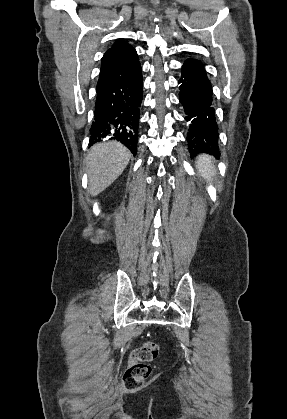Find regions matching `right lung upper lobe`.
Returning a JSON list of instances; mask_svg holds the SVG:
<instances>
[{"mask_svg": "<svg viewBox=\"0 0 287 419\" xmlns=\"http://www.w3.org/2000/svg\"><path fill=\"white\" fill-rule=\"evenodd\" d=\"M140 65L135 49L123 39H118L101 59L97 87L130 74Z\"/></svg>", "mask_w": 287, "mask_h": 419, "instance_id": "obj_1", "label": "right lung upper lobe"}]
</instances>
